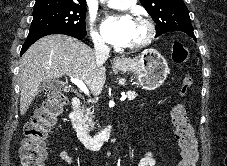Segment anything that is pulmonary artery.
<instances>
[{"instance_id": "pulmonary-artery-1", "label": "pulmonary artery", "mask_w": 227, "mask_h": 166, "mask_svg": "<svg viewBox=\"0 0 227 166\" xmlns=\"http://www.w3.org/2000/svg\"><path fill=\"white\" fill-rule=\"evenodd\" d=\"M136 0H108L107 5L115 9H127L135 4Z\"/></svg>"}]
</instances>
